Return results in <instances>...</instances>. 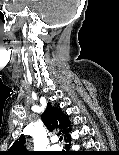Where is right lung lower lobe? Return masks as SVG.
Wrapping results in <instances>:
<instances>
[{"label": "right lung lower lobe", "instance_id": "98d812e1", "mask_svg": "<svg viewBox=\"0 0 119 155\" xmlns=\"http://www.w3.org/2000/svg\"><path fill=\"white\" fill-rule=\"evenodd\" d=\"M66 141L67 142L71 141V136L70 135L66 138ZM88 153L89 152H79V153H72V154H68V155H88Z\"/></svg>", "mask_w": 119, "mask_h": 155}]
</instances>
